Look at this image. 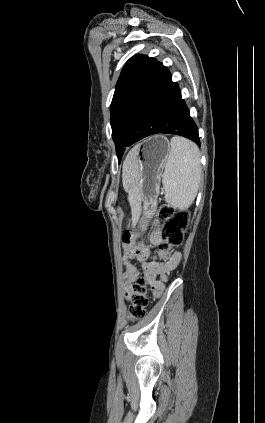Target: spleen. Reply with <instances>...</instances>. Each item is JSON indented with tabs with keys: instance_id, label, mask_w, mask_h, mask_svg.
Returning <instances> with one entry per match:
<instances>
[{
	"instance_id": "1",
	"label": "spleen",
	"mask_w": 265,
	"mask_h": 423,
	"mask_svg": "<svg viewBox=\"0 0 265 423\" xmlns=\"http://www.w3.org/2000/svg\"><path fill=\"white\" fill-rule=\"evenodd\" d=\"M200 180L201 165L197 145L183 137H172L162 176L165 201L173 208L187 209L195 200Z\"/></svg>"
}]
</instances>
